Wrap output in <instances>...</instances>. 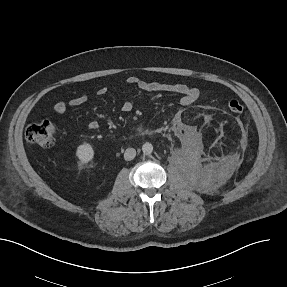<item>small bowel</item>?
<instances>
[{"instance_id":"obj_1","label":"small bowel","mask_w":287,"mask_h":287,"mask_svg":"<svg viewBox=\"0 0 287 287\" xmlns=\"http://www.w3.org/2000/svg\"><path fill=\"white\" fill-rule=\"evenodd\" d=\"M127 83L137 87L138 89L146 92L154 93H172L180 96V102L184 106L195 103L200 98V90L196 87L184 84V83H163L157 81L144 80L136 76H131L127 79ZM107 92L106 87H101L98 90L100 95H104ZM88 97L85 95L77 96L71 99L69 102L60 100L54 105V110L57 114L66 113L69 106H79L86 103ZM133 108V104L130 101H124L121 109L124 112H129ZM100 128V124L97 121H90L87 124L89 131H96ZM140 129V128H138Z\"/></svg>"}]
</instances>
